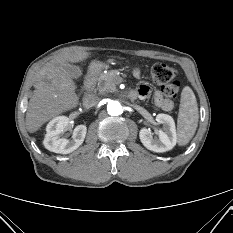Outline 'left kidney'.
I'll return each instance as SVG.
<instances>
[{"mask_svg": "<svg viewBox=\"0 0 233 233\" xmlns=\"http://www.w3.org/2000/svg\"><path fill=\"white\" fill-rule=\"evenodd\" d=\"M158 124L163 125V130L157 132L158 137L153 138L150 129L142 128L139 137L142 144L153 152L162 153L171 150L177 142V133L174 119L167 114H158L156 116Z\"/></svg>", "mask_w": 233, "mask_h": 233, "instance_id": "left-kidney-1", "label": "left kidney"}]
</instances>
